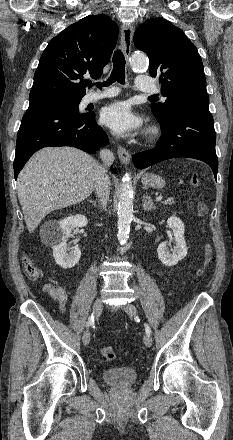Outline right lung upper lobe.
Masks as SVG:
<instances>
[{"mask_svg": "<svg viewBox=\"0 0 233 440\" xmlns=\"http://www.w3.org/2000/svg\"><path fill=\"white\" fill-rule=\"evenodd\" d=\"M119 28L106 15H90L54 37L44 50L29 95L37 105L58 99H82V77H100L115 48Z\"/></svg>", "mask_w": 233, "mask_h": 440, "instance_id": "obj_1", "label": "right lung upper lobe"}]
</instances>
